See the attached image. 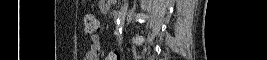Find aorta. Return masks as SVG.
Masks as SVG:
<instances>
[{"label":"aorta","mask_w":267,"mask_h":60,"mask_svg":"<svg viewBox=\"0 0 267 60\" xmlns=\"http://www.w3.org/2000/svg\"><path fill=\"white\" fill-rule=\"evenodd\" d=\"M128 1L125 0L123 6L121 7V10L118 15L117 23H116V36L117 39H121L122 31L125 23V18L128 11Z\"/></svg>","instance_id":"1"}]
</instances>
